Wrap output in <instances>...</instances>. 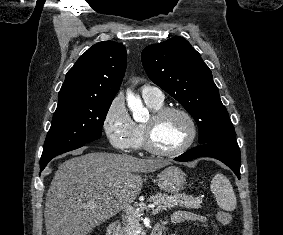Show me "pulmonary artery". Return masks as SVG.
Instances as JSON below:
<instances>
[{"instance_id": "obj_1", "label": "pulmonary artery", "mask_w": 283, "mask_h": 235, "mask_svg": "<svg viewBox=\"0 0 283 235\" xmlns=\"http://www.w3.org/2000/svg\"><path fill=\"white\" fill-rule=\"evenodd\" d=\"M141 93L144 99L154 100L161 102L164 99V95L160 88L150 85H145L141 89Z\"/></svg>"}]
</instances>
